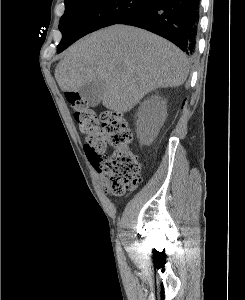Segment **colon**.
<instances>
[{
    "mask_svg": "<svg viewBox=\"0 0 245 300\" xmlns=\"http://www.w3.org/2000/svg\"><path fill=\"white\" fill-rule=\"evenodd\" d=\"M68 101L80 131L85 135L84 151L99 170L107 192L123 195L141 183V168L131 148L132 133L119 112L104 111L100 116L78 93H69ZM107 147L112 153L106 155Z\"/></svg>",
    "mask_w": 245,
    "mask_h": 300,
    "instance_id": "colon-1",
    "label": "colon"
}]
</instances>
